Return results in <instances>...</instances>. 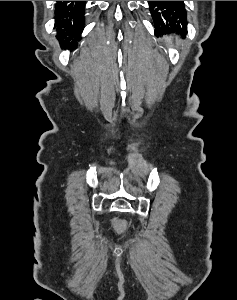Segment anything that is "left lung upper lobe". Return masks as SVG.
<instances>
[{"instance_id":"5c2ea615","label":"left lung upper lobe","mask_w":237,"mask_h":300,"mask_svg":"<svg viewBox=\"0 0 237 300\" xmlns=\"http://www.w3.org/2000/svg\"><path fill=\"white\" fill-rule=\"evenodd\" d=\"M149 9L153 18L155 33L183 31L187 28L184 1H154ZM182 33V32H181Z\"/></svg>"}]
</instances>
